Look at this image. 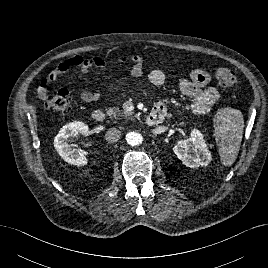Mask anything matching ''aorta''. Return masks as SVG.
I'll list each match as a JSON object with an SVG mask.
<instances>
[{"label": "aorta", "instance_id": "aorta-1", "mask_svg": "<svg viewBox=\"0 0 268 268\" xmlns=\"http://www.w3.org/2000/svg\"><path fill=\"white\" fill-rule=\"evenodd\" d=\"M126 141L128 144L132 146H136L142 143L143 137L140 133L137 132H129L126 134Z\"/></svg>", "mask_w": 268, "mask_h": 268}]
</instances>
